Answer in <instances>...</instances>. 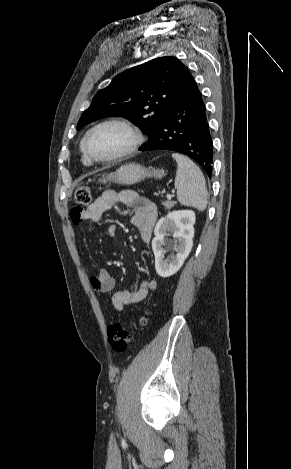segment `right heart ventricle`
<instances>
[{"instance_id": "right-heart-ventricle-1", "label": "right heart ventricle", "mask_w": 291, "mask_h": 469, "mask_svg": "<svg viewBox=\"0 0 291 469\" xmlns=\"http://www.w3.org/2000/svg\"><path fill=\"white\" fill-rule=\"evenodd\" d=\"M80 151H81V160L84 165H90L91 162L86 158V156L83 153V140L80 144Z\"/></svg>"}]
</instances>
